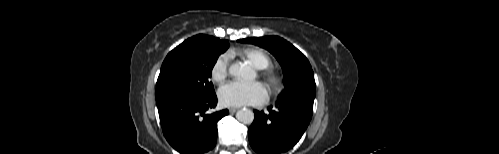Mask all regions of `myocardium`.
<instances>
[{
    "label": "myocardium",
    "mask_w": 499,
    "mask_h": 154,
    "mask_svg": "<svg viewBox=\"0 0 499 154\" xmlns=\"http://www.w3.org/2000/svg\"><path fill=\"white\" fill-rule=\"evenodd\" d=\"M261 76L271 90H276L277 88H279L281 84V78L279 73L275 69L268 68L262 73Z\"/></svg>",
    "instance_id": "myocardium-1"
}]
</instances>
